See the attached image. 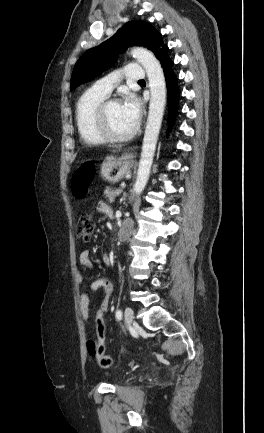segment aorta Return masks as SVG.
Masks as SVG:
<instances>
[{
  "label": "aorta",
  "mask_w": 264,
  "mask_h": 433,
  "mask_svg": "<svg viewBox=\"0 0 264 433\" xmlns=\"http://www.w3.org/2000/svg\"><path fill=\"white\" fill-rule=\"evenodd\" d=\"M131 55L145 69L151 94L137 178L133 187V192L140 194L148 182L155 155L166 104V82L162 67L153 53L137 47L131 50Z\"/></svg>",
  "instance_id": "1"
}]
</instances>
